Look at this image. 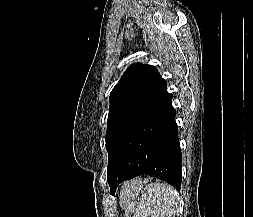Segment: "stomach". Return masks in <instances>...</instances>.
<instances>
[{"label": "stomach", "instance_id": "1", "mask_svg": "<svg viewBox=\"0 0 253 217\" xmlns=\"http://www.w3.org/2000/svg\"><path fill=\"white\" fill-rule=\"evenodd\" d=\"M139 188L132 192L131 196L125 202H121L120 205L124 209V217H135V211L137 205L140 202V198L138 197Z\"/></svg>", "mask_w": 253, "mask_h": 217}]
</instances>
